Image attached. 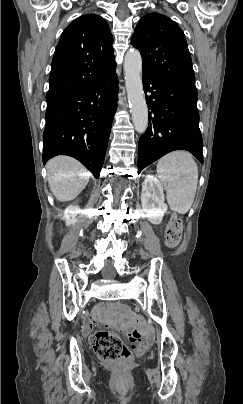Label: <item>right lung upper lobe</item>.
<instances>
[{
	"instance_id": "obj_1",
	"label": "right lung upper lobe",
	"mask_w": 243,
	"mask_h": 404,
	"mask_svg": "<svg viewBox=\"0 0 243 404\" xmlns=\"http://www.w3.org/2000/svg\"><path fill=\"white\" fill-rule=\"evenodd\" d=\"M112 43L102 17L87 14L71 22L55 49L46 98L80 89L114 72Z\"/></svg>"
}]
</instances>
